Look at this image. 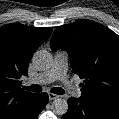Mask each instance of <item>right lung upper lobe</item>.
Here are the masks:
<instances>
[{"label":"right lung upper lobe","mask_w":119,"mask_h":119,"mask_svg":"<svg viewBox=\"0 0 119 119\" xmlns=\"http://www.w3.org/2000/svg\"><path fill=\"white\" fill-rule=\"evenodd\" d=\"M51 27L9 24L0 29V119H21L37 94L21 89L19 81L35 50L49 37Z\"/></svg>","instance_id":"right-lung-upper-lobe-1"}]
</instances>
